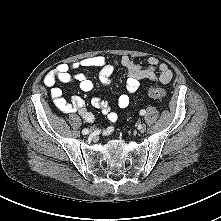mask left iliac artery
Listing matches in <instances>:
<instances>
[{
	"label": "left iliac artery",
	"mask_w": 221,
	"mask_h": 221,
	"mask_svg": "<svg viewBox=\"0 0 221 221\" xmlns=\"http://www.w3.org/2000/svg\"><path fill=\"white\" fill-rule=\"evenodd\" d=\"M145 113H146L145 110L140 111V115H144Z\"/></svg>",
	"instance_id": "obj_1"
}]
</instances>
